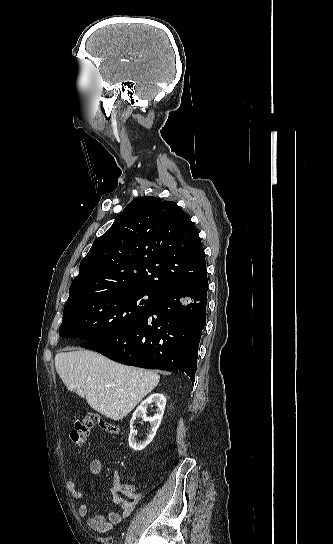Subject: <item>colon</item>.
Here are the masks:
<instances>
[{
	"label": "colon",
	"mask_w": 333,
	"mask_h": 544,
	"mask_svg": "<svg viewBox=\"0 0 333 544\" xmlns=\"http://www.w3.org/2000/svg\"><path fill=\"white\" fill-rule=\"evenodd\" d=\"M95 426H99L112 435H117L120 432V428L116 423L94 412H87L76 421L75 427L70 434L71 441L77 446H82Z\"/></svg>",
	"instance_id": "5ec220e1"
}]
</instances>
